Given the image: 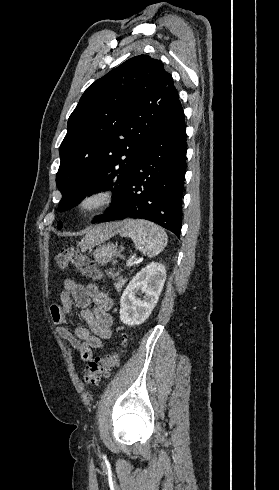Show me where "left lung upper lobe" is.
I'll return each mask as SVG.
<instances>
[{"label": "left lung upper lobe", "mask_w": 279, "mask_h": 490, "mask_svg": "<svg viewBox=\"0 0 279 490\" xmlns=\"http://www.w3.org/2000/svg\"><path fill=\"white\" fill-rule=\"evenodd\" d=\"M179 103L172 76L161 61L147 55L135 56L96 80L70 115L59 149V211L111 188L109 213L146 140Z\"/></svg>", "instance_id": "obj_1"}]
</instances>
